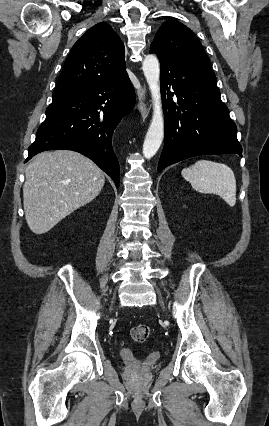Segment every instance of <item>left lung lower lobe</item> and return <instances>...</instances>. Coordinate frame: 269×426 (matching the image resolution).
Returning <instances> with one entry per match:
<instances>
[{
  "label": "left lung lower lobe",
  "instance_id": "obj_1",
  "mask_svg": "<svg viewBox=\"0 0 269 426\" xmlns=\"http://www.w3.org/2000/svg\"><path fill=\"white\" fill-rule=\"evenodd\" d=\"M159 60L165 144L158 172L198 155L242 156L236 125L221 101L216 76L176 60L161 57Z\"/></svg>",
  "mask_w": 269,
  "mask_h": 426
}]
</instances>
